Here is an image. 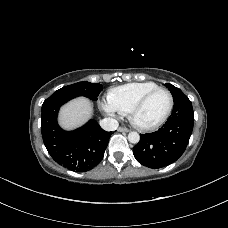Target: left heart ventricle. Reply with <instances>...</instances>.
I'll return each instance as SVG.
<instances>
[{
	"label": "left heart ventricle",
	"instance_id": "1",
	"mask_svg": "<svg viewBox=\"0 0 228 228\" xmlns=\"http://www.w3.org/2000/svg\"><path fill=\"white\" fill-rule=\"evenodd\" d=\"M169 104L168 95L164 91L156 92L138 111L136 120L142 125L157 122L165 114Z\"/></svg>",
	"mask_w": 228,
	"mask_h": 228
}]
</instances>
